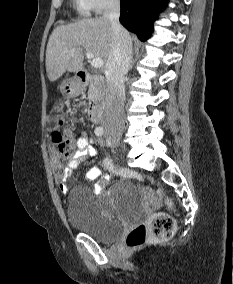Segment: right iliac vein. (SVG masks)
<instances>
[{
    "mask_svg": "<svg viewBox=\"0 0 233 284\" xmlns=\"http://www.w3.org/2000/svg\"><path fill=\"white\" fill-rule=\"evenodd\" d=\"M114 140H115L117 143H120V142H121V138H120V137H114Z\"/></svg>",
    "mask_w": 233,
    "mask_h": 284,
    "instance_id": "63e3f726",
    "label": "right iliac vein"
}]
</instances>
